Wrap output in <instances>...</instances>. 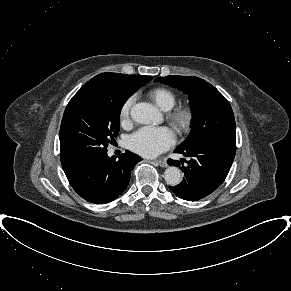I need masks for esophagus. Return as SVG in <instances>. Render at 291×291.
Returning <instances> with one entry per match:
<instances>
[{
  "mask_svg": "<svg viewBox=\"0 0 291 291\" xmlns=\"http://www.w3.org/2000/svg\"><path fill=\"white\" fill-rule=\"evenodd\" d=\"M153 163H155L156 165L163 167V168L168 166V164L165 160H154Z\"/></svg>",
  "mask_w": 291,
  "mask_h": 291,
  "instance_id": "esophagus-1",
  "label": "esophagus"
}]
</instances>
